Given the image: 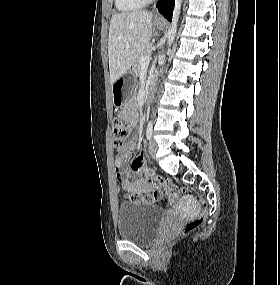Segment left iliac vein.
Masks as SVG:
<instances>
[{"instance_id": "obj_1", "label": "left iliac vein", "mask_w": 280, "mask_h": 285, "mask_svg": "<svg viewBox=\"0 0 280 285\" xmlns=\"http://www.w3.org/2000/svg\"><path fill=\"white\" fill-rule=\"evenodd\" d=\"M156 151H157V143L154 139H151L149 142V153L152 158H155Z\"/></svg>"}]
</instances>
